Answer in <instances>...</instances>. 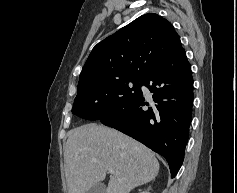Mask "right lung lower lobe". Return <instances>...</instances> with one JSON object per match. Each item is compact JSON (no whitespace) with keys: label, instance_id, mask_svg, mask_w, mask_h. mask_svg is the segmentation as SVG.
<instances>
[{"label":"right lung lower lobe","instance_id":"1","mask_svg":"<svg viewBox=\"0 0 237 193\" xmlns=\"http://www.w3.org/2000/svg\"><path fill=\"white\" fill-rule=\"evenodd\" d=\"M142 84L153 93L154 103L149 106L141 91L130 104L100 122L164 156L173 178L184 159L192 118L193 78L184 49L157 65Z\"/></svg>","mask_w":237,"mask_h":193}]
</instances>
